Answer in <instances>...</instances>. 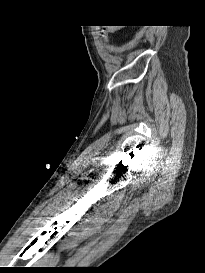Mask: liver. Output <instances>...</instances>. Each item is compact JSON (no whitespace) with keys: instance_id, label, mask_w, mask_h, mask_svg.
I'll return each mask as SVG.
<instances>
[{"instance_id":"1","label":"liver","mask_w":205,"mask_h":273,"mask_svg":"<svg viewBox=\"0 0 205 273\" xmlns=\"http://www.w3.org/2000/svg\"><path fill=\"white\" fill-rule=\"evenodd\" d=\"M110 29H111L112 31H116V30L119 29V27H111Z\"/></svg>"}]
</instances>
